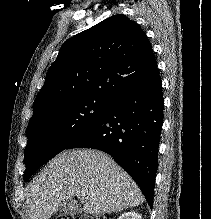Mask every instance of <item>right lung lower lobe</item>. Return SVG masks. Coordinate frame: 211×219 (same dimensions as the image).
Returning <instances> with one entry per match:
<instances>
[{"label":"right lung lower lobe","instance_id":"obj_1","mask_svg":"<svg viewBox=\"0 0 211 219\" xmlns=\"http://www.w3.org/2000/svg\"><path fill=\"white\" fill-rule=\"evenodd\" d=\"M163 109L157 68L144 83L114 99L103 116L66 149L93 148L111 155L138 184L152 209Z\"/></svg>","mask_w":211,"mask_h":219}]
</instances>
